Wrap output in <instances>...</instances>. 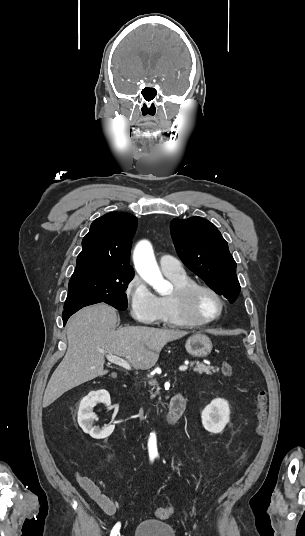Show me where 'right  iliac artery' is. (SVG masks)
Listing matches in <instances>:
<instances>
[{
  "label": "right iliac artery",
  "mask_w": 305,
  "mask_h": 536,
  "mask_svg": "<svg viewBox=\"0 0 305 536\" xmlns=\"http://www.w3.org/2000/svg\"><path fill=\"white\" fill-rule=\"evenodd\" d=\"M154 457H155V456L152 455V456L150 457V460L153 461ZM120 526H121V524H120V522H118V523L113 527L110 536H117V535L119 534Z\"/></svg>",
  "instance_id": "obj_1"
}]
</instances>
